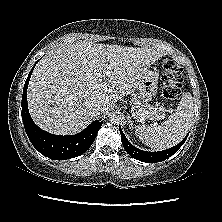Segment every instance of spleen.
<instances>
[{
  "label": "spleen",
  "mask_w": 222,
  "mask_h": 222,
  "mask_svg": "<svg viewBox=\"0 0 222 222\" xmlns=\"http://www.w3.org/2000/svg\"><path fill=\"white\" fill-rule=\"evenodd\" d=\"M194 103L191 94H185L175 112L161 125L136 127L139 139L155 150H164L178 144L187 134L193 122Z\"/></svg>",
  "instance_id": "3e777b00"
}]
</instances>
